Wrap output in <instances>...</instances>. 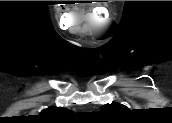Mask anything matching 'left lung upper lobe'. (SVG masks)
I'll return each instance as SVG.
<instances>
[{
    "label": "left lung upper lobe",
    "mask_w": 172,
    "mask_h": 123,
    "mask_svg": "<svg viewBox=\"0 0 172 123\" xmlns=\"http://www.w3.org/2000/svg\"><path fill=\"white\" fill-rule=\"evenodd\" d=\"M121 108H125V106L119 104V103H112V104H106L101 107L102 111H118Z\"/></svg>",
    "instance_id": "left-lung-upper-lobe-1"
}]
</instances>
